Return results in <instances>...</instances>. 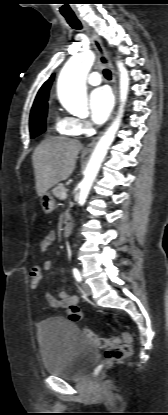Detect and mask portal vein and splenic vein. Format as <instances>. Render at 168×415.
Listing matches in <instances>:
<instances>
[{"instance_id":"1","label":"portal vein and splenic vein","mask_w":168,"mask_h":415,"mask_svg":"<svg viewBox=\"0 0 168 415\" xmlns=\"http://www.w3.org/2000/svg\"><path fill=\"white\" fill-rule=\"evenodd\" d=\"M66 196H67L66 191H63V192L61 193V198H62V199H65V198H66Z\"/></svg>"}]
</instances>
